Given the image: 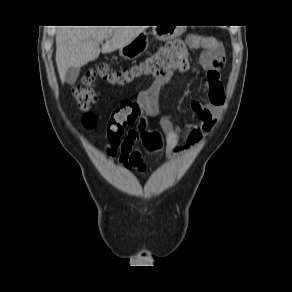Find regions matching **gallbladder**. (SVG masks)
<instances>
[{"label":"gallbladder","instance_id":"1","mask_svg":"<svg viewBox=\"0 0 292 292\" xmlns=\"http://www.w3.org/2000/svg\"><path fill=\"white\" fill-rule=\"evenodd\" d=\"M80 74L79 67H70L67 69L65 73V80L68 84L72 85L76 82L78 76Z\"/></svg>","mask_w":292,"mask_h":292}]
</instances>
